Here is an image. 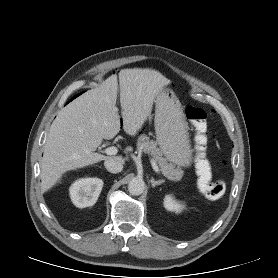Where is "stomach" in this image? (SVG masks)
Segmentation results:
<instances>
[{
    "mask_svg": "<svg viewBox=\"0 0 278 278\" xmlns=\"http://www.w3.org/2000/svg\"><path fill=\"white\" fill-rule=\"evenodd\" d=\"M155 133L167 160L181 167L192 163L188 124L175 93L163 88L155 98Z\"/></svg>",
    "mask_w": 278,
    "mask_h": 278,
    "instance_id": "1",
    "label": "stomach"
}]
</instances>
